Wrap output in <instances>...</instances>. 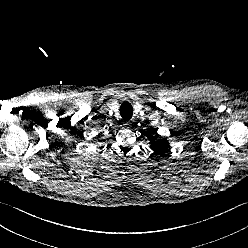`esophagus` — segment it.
Instances as JSON below:
<instances>
[{
	"label": "esophagus",
	"instance_id": "34e87169",
	"mask_svg": "<svg viewBox=\"0 0 248 248\" xmlns=\"http://www.w3.org/2000/svg\"><path fill=\"white\" fill-rule=\"evenodd\" d=\"M124 126L129 128L131 126V122L130 121H125Z\"/></svg>",
	"mask_w": 248,
	"mask_h": 248
}]
</instances>
